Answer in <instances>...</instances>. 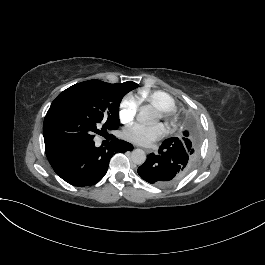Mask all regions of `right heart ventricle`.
Here are the masks:
<instances>
[{"mask_svg":"<svg viewBox=\"0 0 265 265\" xmlns=\"http://www.w3.org/2000/svg\"><path fill=\"white\" fill-rule=\"evenodd\" d=\"M139 100L141 102L147 101L155 106L158 113H160V111L173 110L175 108L173 98L169 94L161 91H141L139 94Z\"/></svg>","mask_w":265,"mask_h":265,"instance_id":"right-heart-ventricle-1","label":"right heart ventricle"}]
</instances>
